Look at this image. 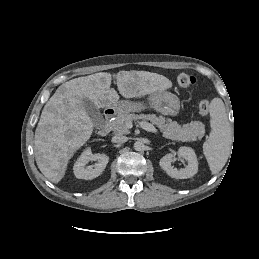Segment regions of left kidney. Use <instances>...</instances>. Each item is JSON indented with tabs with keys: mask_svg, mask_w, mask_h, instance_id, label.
Instances as JSON below:
<instances>
[{
	"mask_svg": "<svg viewBox=\"0 0 259 259\" xmlns=\"http://www.w3.org/2000/svg\"><path fill=\"white\" fill-rule=\"evenodd\" d=\"M178 156L187 161L185 168L177 169L172 166L174 155L171 153L160 159L159 164L161 168L172 178L187 179L193 177L198 172V161L195 151L190 147H180Z\"/></svg>",
	"mask_w": 259,
	"mask_h": 259,
	"instance_id": "obj_1",
	"label": "left kidney"
}]
</instances>
